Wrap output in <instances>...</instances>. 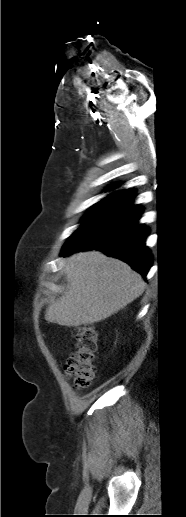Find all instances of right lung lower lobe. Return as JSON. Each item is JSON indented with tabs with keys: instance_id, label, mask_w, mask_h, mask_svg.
<instances>
[{
	"instance_id": "1",
	"label": "right lung lower lobe",
	"mask_w": 186,
	"mask_h": 517,
	"mask_svg": "<svg viewBox=\"0 0 186 517\" xmlns=\"http://www.w3.org/2000/svg\"><path fill=\"white\" fill-rule=\"evenodd\" d=\"M133 198L120 201L73 234L64 245L62 256L95 249L125 261L146 276L152 264L151 253L145 246L149 229L138 224L142 210L132 204Z\"/></svg>"
}]
</instances>
